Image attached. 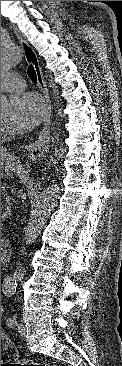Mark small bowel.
Masks as SVG:
<instances>
[{
    "instance_id": "obj_1",
    "label": "small bowel",
    "mask_w": 122,
    "mask_h": 366,
    "mask_svg": "<svg viewBox=\"0 0 122 366\" xmlns=\"http://www.w3.org/2000/svg\"><path fill=\"white\" fill-rule=\"evenodd\" d=\"M11 281H13V279H12V277H9V278H7V284L8 283H10ZM2 312H3V307H2V305H1V315H2Z\"/></svg>"
}]
</instances>
